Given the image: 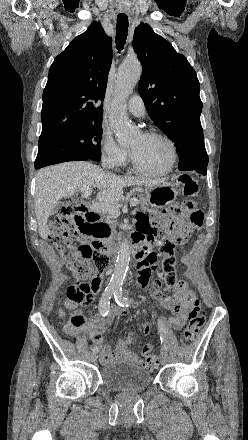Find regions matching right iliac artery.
Masks as SVG:
<instances>
[{"instance_id":"obj_1","label":"right iliac artery","mask_w":248,"mask_h":440,"mask_svg":"<svg viewBox=\"0 0 248 440\" xmlns=\"http://www.w3.org/2000/svg\"><path fill=\"white\" fill-rule=\"evenodd\" d=\"M115 288L112 286L106 287L104 290L102 297L99 301V311L102 314V316H106L109 312L110 308V298L112 294L114 293ZM92 351L97 353L99 351V348L97 346H94L92 348Z\"/></svg>"}]
</instances>
